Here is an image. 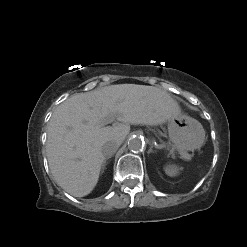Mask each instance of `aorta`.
<instances>
[{"label":"aorta","mask_w":247,"mask_h":247,"mask_svg":"<svg viewBox=\"0 0 247 247\" xmlns=\"http://www.w3.org/2000/svg\"><path fill=\"white\" fill-rule=\"evenodd\" d=\"M145 141L142 137L134 135L128 141V149L132 152H138L143 149Z\"/></svg>","instance_id":"aorta-1"}]
</instances>
